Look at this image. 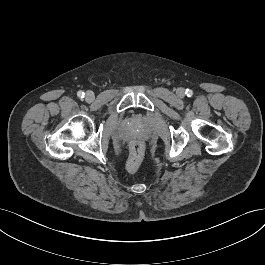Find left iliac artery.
Segmentation results:
<instances>
[{
  "mask_svg": "<svg viewBox=\"0 0 265 265\" xmlns=\"http://www.w3.org/2000/svg\"><path fill=\"white\" fill-rule=\"evenodd\" d=\"M186 95L188 96V97H190V96H192L193 95V91L192 90H190V89H186Z\"/></svg>",
  "mask_w": 265,
  "mask_h": 265,
  "instance_id": "left-iliac-artery-1",
  "label": "left iliac artery"
}]
</instances>
